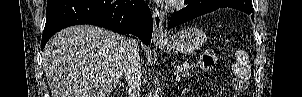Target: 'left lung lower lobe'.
Listing matches in <instances>:
<instances>
[{"label":"left lung lower lobe","instance_id":"1","mask_svg":"<svg viewBox=\"0 0 302 97\" xmlns=\"http://www.w3.org/2000/svg\"><path fill=\"white\" fill-rule=\"evenodd\" d=\"M225 7L235 8L247 14L252 13L251 0H190L186 8L172 14L168 28ZM251 18L254 20L253 15Z\"/></svg>","mask_w":302,"mask_h":97}]
</instances>
